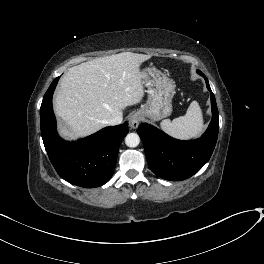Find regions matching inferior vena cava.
Segmentation results:
<instances>
[{
    "label": "inferior vena cava",
    "instance_id": "602c4592",
    "mask_svg": "<svg viewBox=\"0 0 264 264\" xmlns=\"http://www.w3.org/2000/svg\"><path fill=\"white\" fill-rule=\"evenodd\" d=\"M122 116L118 115V116H115L113 117L112 119L108 120L107 124L108 125H118V124H121L122 123Z\"/></svg>",
    "mask_w": 264,
    "mask_h": 264
}]
</instances>
